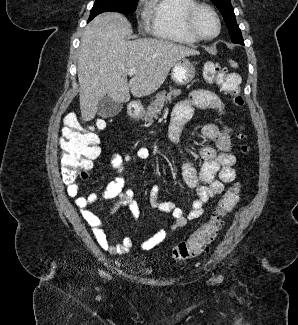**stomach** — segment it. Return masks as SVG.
Masks as SVG:
<instances>
[{
    "label": "stomach",
    "mask_w": 298,
    "mask_h": 325,
    "mask_svg": "<svg viewBox=\"0 0 298 325\" xmlns=\"http://www.w3.org/2000/svg\"><path fill=\"white\" fill-rule=\"evenodd\" d=\"M197 72L196 62L188 56L177 60L176 64H173L170 72L171 80L177 84V86H183V84H189L193 78H195Z\"/></svg>",
    "instance_id": "stomach-1"
}]
</instances>
